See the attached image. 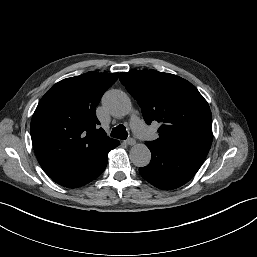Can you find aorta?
<instances>
[{
	"label": "aorta",
	"instance_id": "1",
	"mask_svg": "<svg viewBox=\"0 0 257 257\" xmlns=\"http://www.w3.org/2000/svg\"><path fill=\"white\" fill-rule=\"evenodd\" d=\"M105 110L114 117H124L131 110L128 95L119 90H110L102 98ZM130 160L137 167H145L150 163L151 152L145 144H136L130 149Z\"/></svg>",
	"mask_w": 257,
	"mask_h": 257
}]
</instances>
